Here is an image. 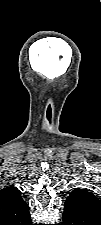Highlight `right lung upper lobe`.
Listing matches in <instances>:
<instances>
[{"mask_svg":"<svg viewBox=\"0 0 101 225\" xmlns=\"http://www.w3.org/2000/svg\"><path fill=\"white\" fill-rule=\"evenodd\" d=\"M31 220L28 205L13 186L0 191V225H27Z\"/></svg>","mask_w":101,"mask_h":225,"instance_id":"1","label":"right lung upper lobe"}]
</instances>
